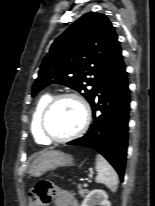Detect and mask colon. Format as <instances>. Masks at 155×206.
Returning a JSON list of instances; mask_svg holds the SVG:
<instances>
[{
	"instance_id": "colon-1",
	"label": "colon",
	"mask_w": 155,
	"mask_h": 206,
	"mask_svg": "<svg viewBox=\"0 0 155 206\" xmlns=\"http://www.w3.org/2000/svg\"><path fill=\"white\" fill-rule=\"evenodd\" d=\"M53 191V185L47 180L39 181L34 188L30 191V195L33 201L40 206H47L50 202L51 192Z\"/></svg>"
}]
</instances>
